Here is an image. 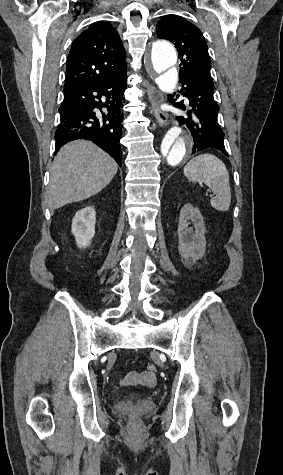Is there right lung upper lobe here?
Segmentation results:
<instances>
[{
    "label": "right lung upper lobe",
    "mask_w": 283,
    "mask_h": 475,
    "mask_svg": "<svg viewBox=\"0 0 283 475\" xmlns=\"http://www.w3.org/2000/svg\"><path fill=\"white\" fill-rule=\"evenodd\" d=\"M125 50L109 22H98L73 42L67 59L65 87L101 82L126 74Z\"/></svg>",
    "instance_id": "obj_1"
}]
</instances>
